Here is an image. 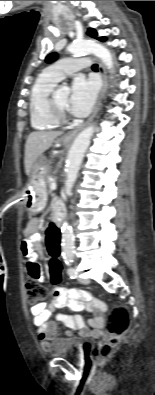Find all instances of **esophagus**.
<instances>
[{
	"label": "esophagus",
	"mask_w": 155,
	"mask_h": 395,
	"mask_svg": "<svg viewBox=\"0 0 155 395\" xmlns=\"http://www.w3.org/2000/svg\"><path fill=\"white\" fill-rule=\"evenodd\" d=\"M97 63H98V69H99V72H100V75H101V78H102V87H101L100 94H99V97H98V100H97V104H96V106L94 108V111H93L92 115L89 117V119L83 125H81L80 127L68 132L65 135V137H64L65 140H72V139H74L76 137V135L79 133V131L82 128H84L87 124H89L93 120V118L96 116V114L98 112V109H99V106L101 104L102 98H103V96H104V94L106 92V89H107V76H106L105 68L102 65V63L100 61H98V60H97Z\"/></svg>",
	"instance_id": "esophagus-1"
}]
</instances>
